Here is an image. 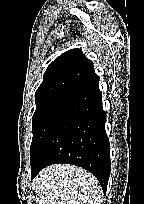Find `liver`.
<instances>
[{
  "mask_svg": "<svg viewBox=\"0 0 144 204\" xmlns=\"http://www.w3.org/2000/svg\"><path fill=\"white\" fill-rule=\"evenodd\" d=\"M39 204H101L99 181L89 172L68 164L43 169L32 182Z\"/></svg>",
  "mask_w": 144,
  "mask_h": 204,
  "instance_id": "1",
  "label": "liver"
}]
</instances>
